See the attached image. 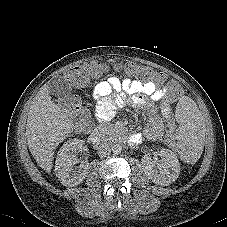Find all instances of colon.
<instances>
[{"mask_svg": "<svg viewBox=\"0 0 227 227\" xmlns=\"http://www.w3.org/2000/svg\"><path fill=\"white\" fill-rule=\"evenodd\" d=\"M102 67L101 63H86L76 67L71 68L66 74V81L75 88H80L86 85L89 76L94 71ZM127 71L131 76H137L141 80L156 82L162 84L165 78L158 71L150 70L146 67H140L138 65L129 63L126 66ZM182 94V89L180 86L171 82L169 84V89L166 96V102H171L176 100ZM64 107L67 112L73 114L76 118L77 124L80 128H88L89 115L85 107L76 98H70L65 102ZM167 135L165 137V143L169 150L174 151L177 149L176 139L178 137V130L174 122L169 121L165 125Z\"/></svg>", "mask_w": 227, "mask_h": 227, "instance_id": "5ec220e1", "label": "colon"}]
</instances>
